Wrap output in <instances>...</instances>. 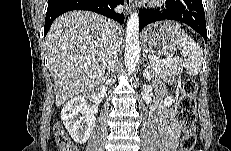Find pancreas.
Masks as SVG:
<instances>
[{"label":"pancreas","mask_w":231,"mask_h":151,"mask_svg":"<svg viewBox=\"0 0 231 151\" xmlns=\"http://www.w3.org/2000/svg\"><path fill=\"white\" fill-rule=\"evenodd\" d=\"M150 64L157 70V72L169 76L180 75L183 71V64L180 60L172 61L170 63H161L151 60Z\"/></svg>","instance_id":"pancreas-1"}]
</instances>
